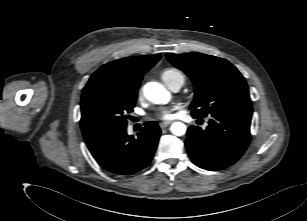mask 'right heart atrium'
Segmentation results:
<instances>
[{
  "mask_svg": "<svg viewBox=\"0 0 307 221\" xmlns=\"http://www.w3.org/2000/svg\"><path fill=\"white\" fill-rule=\"evenodd\" d=\"M137 96L140 98L142 96V88L140 87L137 91Z\"/></svg>",
  "mask_w": 307,
  "mask_h": 221,
  "instance_id": "d8ad5b80",
  "label": "right heart atrium"
}]
</instances>
